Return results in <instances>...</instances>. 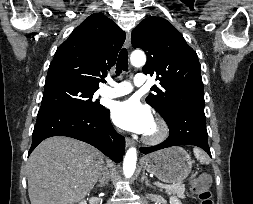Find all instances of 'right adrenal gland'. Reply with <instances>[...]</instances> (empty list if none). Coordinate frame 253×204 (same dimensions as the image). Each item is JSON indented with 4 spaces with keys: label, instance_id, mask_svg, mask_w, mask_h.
Listing matches in <instances>:
<instances>
[{
    "label": "right adrenal gland",
    "instance_id": "1",
    "mask_svg": "<svg viewBox=\"0 0 253 204\" xmlns=\"http://www.w3.org/2000/svg\"><path fill=\"white\" fill-rule=\"evenodd\" d=\"M104 185L102 183H99L97 187H103Z\"/></svg>",
    "mask_w": 253,
    "mask_h": 204
}]
</instances>
